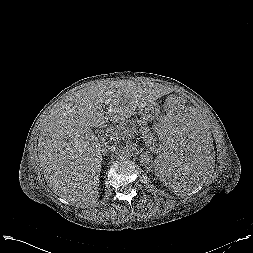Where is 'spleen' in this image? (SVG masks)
Returning <instances> with one entry per match:
<instances>
[{"mask_svg":"<svg viewBox=\"0 0 253 253\" xmlns=\"http://www.w3.org/2000/svg\"><path fill=\"white\" fill-rule=\"evenodd\" d=\"M156 181L178 195L204 186L212 171V146L204 117L194 103L172 105L151 137Z\"/></svg>","mask_w":253,"mask_h":253,"instance_id":"obj_1","label":"spleen"}]
</instances>
